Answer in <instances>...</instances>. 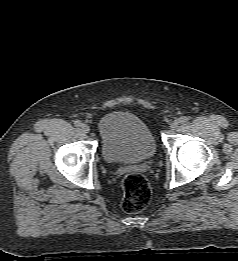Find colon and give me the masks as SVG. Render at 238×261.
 Listing matches in <instances>:
<instances>
[{
  "label": "colon",
  "instance_id": "1",
  "mask_svg": "<svg viewBox=\"0 0 238 261\" xmlns=\"http://www.w3.org/2000/svg\"><path fill=\"white\" fill-rule=\"evenodd\" d=\"M122 209L126 213L142 211L149 203L151 189L147 179L140 173H129L123 179Z\"/></svg>",
  "mask_w": 238,
  "mask_h": 261
}]
</instances>
